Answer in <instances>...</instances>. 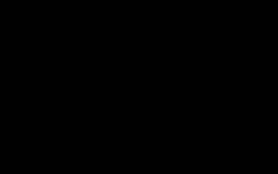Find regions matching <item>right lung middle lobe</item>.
Instances as JSON below:
<instances>
[{
    "label": "right lung middle lobe",
    "instance_id": "obj_1",
    "mask_svg": "<svg viewBox=\"0 0 278 174\" xmlns=\"http://www.w3.org/2000/svg\"><path fill=\"white\" fill-rule=\"evenodd\" d=\"M120 32L118 25L100 23H91L77 30L56 55L53 78L68 71L114 76L112 51Z\"/></svg>",
    "mask_w": 278,
    "mask_h": 174
}]
</instances>
